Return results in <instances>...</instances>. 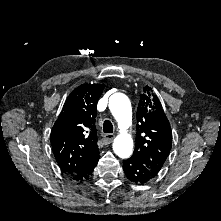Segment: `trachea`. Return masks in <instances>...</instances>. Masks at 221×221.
Here are the masks:
<instances>
[{
  "instance_id": "1",
  "label": "trachea",
  "mask_w": 221,
  "mask_h": 221,
  "mask_svg": "<svg viewBox=\"0 0 221 221\" xmlns=\"http://www.w3.org/2000/svg\"><path fill=\"white\" fill-rule=\"evenodd\" d=\"M103 131L105 133H113V125L109 120H105L103 123Z\"/></svg>"
}]
</instances>
